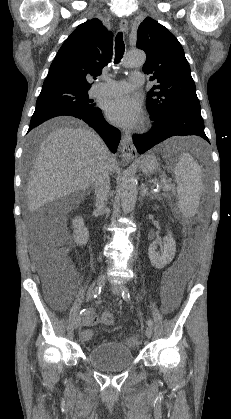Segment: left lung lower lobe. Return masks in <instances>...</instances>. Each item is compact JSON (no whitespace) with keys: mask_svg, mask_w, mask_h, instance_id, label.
Instances as JSON below:
<instances>
[{"mask_svg":"<svg viewBox=\"0 0 231 419\" xmlns=\"http://www.w3.org/2000/svg\"><path fill=\"white\" fill-rule=\"evenodd\" d=\"M151 119L153 126L148 133L133 136V143L140 154L172 136L196 135L209 142L200 108H185L165 115L151 114Z\"/></svg>","mask_w":231,"mask_h":419,"instance_id":"left-lung-lower-lobe-1","label":"left lung lower lobe"}]
</instances>
